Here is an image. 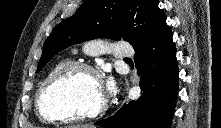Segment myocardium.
Listing matches in <instances>:
<instances>
[{
    "label": "myocardium",
    "mask_w": 221,
    "mask_h": 128,
    "mask_svg": "<svg viewBox=\"0 0 221 128\" xmlns=\"http://www.w3.org/2000/svg\"><path fill=\"white\" fill-rule=\"evenodd\" d=\"M77 71H84L86 73L91 74L102 86V81L100 74L97 69L93 66L80 61L69 62L61 69L57 70L53 74H51L47 79H45L41 86L38 89L37 97H36V113L38 117L45 122H60V123H68L75 122L80 120H91L102 116L108 107V102L106 95L104 94L103 100L100 106L97 109L86 110L79 114H69V115H55L50 114L44 109V99L47 91L57 82L63 80L64 78L70 76L71 74Z\"/></svg>",
    "instance_id": "obj_1"
}]
</instances>
